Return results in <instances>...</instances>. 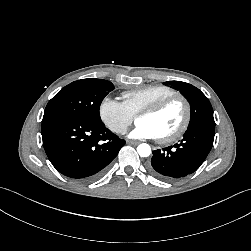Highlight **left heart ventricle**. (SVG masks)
Wrapping results in <instances>:
<instances>
[{"label":"left heart ventricle","instance_id":"left-heart-ventricle-1","mask_svg":"<svg viewBox=\"0 0 251 251\" xmlns=\"http://www.w3.org/2000/svg\"><path fill=\"white\" fill-rule=\"evenodd\" d=\"M183 117V104L180 101H175L156 115L139 117L138 123L148 124L155 130L158 137H163L174 132L180 126Z\"/></svg>","mask_w":251,"mask_h":251}]
</instances>
